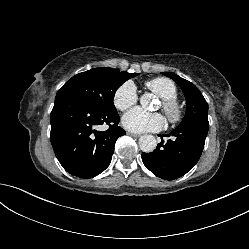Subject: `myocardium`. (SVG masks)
<instances>
[{
	"mask_svg": "<svg viewBox=\"0 0 249 249\" xmlns=\"http://www.w3.org/2000/svg\"><path fill=\"white\" fill-rule=\"evenodd\" d=\"M161 109L171 124H177L183 118V109L176 100L161 99Z\"/></svg>",
	"mask_w": 249,
	"mask_h": 249,
	"instance_id": "f54148a6",
	"label": "myocardium"
}]
</instances>
